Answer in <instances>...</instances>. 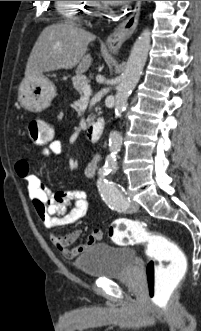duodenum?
I'll list each match as a JSON object with an SVG mask.
<instances>
[{"instance_id": "obj_1", "label": "duodenum", "mask_w": 201, "mask_h": 331, "mask_svg": "<svg viewBox=\"0 0 201 331\" xmlns=\"http://www.w3.org/2000/svg\"><path fill=\"white\" fill-rule=\"evenodd\" d=\"M104 120L101 118L94 119L87 128V138L93 142L96 143L101 139V136L104 132Z\"/></svg>"}]
</instances>
